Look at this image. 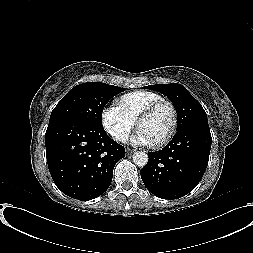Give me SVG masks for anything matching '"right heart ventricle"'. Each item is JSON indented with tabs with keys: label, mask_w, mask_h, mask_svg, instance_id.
I'll list each match as a JSON object with an SVG mask.
<instances>
[{
	"label": "right heart ventricle",
	"mask_w": 253,
	"mask_h": 253,
	"mask_svg": "<svg viewBox=\"0 0 253 253\" xmlns=\"http://www.w3.org/2000/svg\"><path fill=\"white\" fill-rule=\"evenodd\" d=\"M159 100H162V97L155 92L136 90L122 95L118 99V106L129 118L136 121L144 108Z\"/></svg>",
	"instance_id": "right-heart-ventricle-1"
}]
</instances>
